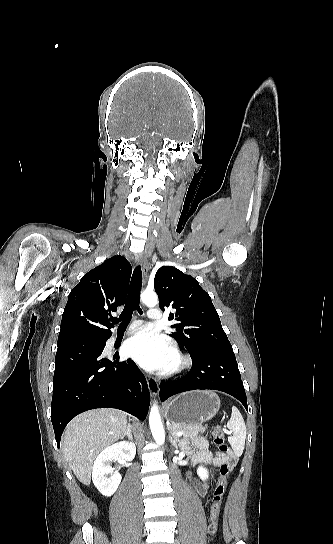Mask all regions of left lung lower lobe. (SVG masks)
Instances as JSON below:
<instances>
[{
    "label": "left lung lower lobe",
    "instance_id": "0a47b994",
    "mask_svg": "<svg viewBox=\"0 0 333 544\" xmlns=\"http://www.w3.org/2000/svg\"><path fill=\"white\" fill-rule=\"evenodd\" d=\"M192 368L182 378L160 383V399L190 390H219L237 398L248 411L246 393L233 351L204 350L191 355Z\"/></svg>",
    "mask_w": 333,
    "mask_h": 544
}]
</instances>
